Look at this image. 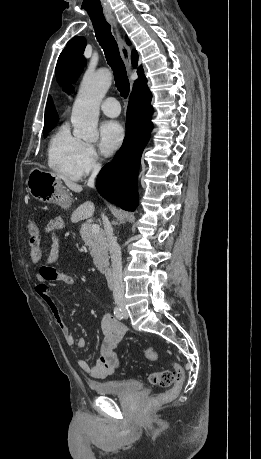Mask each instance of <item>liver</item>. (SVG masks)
I'll return each instance as SVG.
<instances>
[{
  "label": "liver",
  "instance_id": "1",
  "mask_svg": "<svg viewBox=\"0 0 261 459\" xmlns=\"http://www.w3.org/2000/svg\"><path fill=\"white\" fill-rule=\"evenodd\" d=\"M56 175V174H55ZM60 180L62 179L65 183V185L72 191L74 192H81L83 190L82 186L79 184H76L70 180H67L66 178L56 175ZM95 207L94 204L91 201H86L83 204H81L74 212L72 216L73 221L81 220V219H86L90 218L93 213H94Z\"/></svg>",
  "mask_w": 261,
  "mask_h": 459
}]
</instances>
